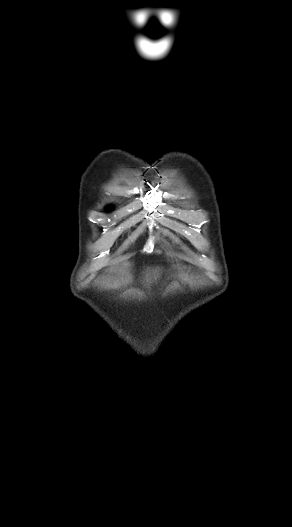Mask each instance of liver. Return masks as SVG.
I'll return each mask as SVG.
<instances>
[{"label":"liver","instance_id":"liver-1","mask_svg":"<svg viewBox=\"0 0 292 527\" xmlns=\"http://www.w3.org/2000/svg\"><path fill=\"white\" fill-rule=\"evenodd\" d=\"M155 274H157V271H156V270H155V272H154V277H155Z\"/></svg>","mask_w":292,"mask_h":527}]
</instances>
